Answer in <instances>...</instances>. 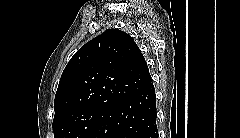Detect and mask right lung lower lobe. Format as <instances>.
I'll use <instances>...</instances> for the list:
<instances>
[{
  "instance_id": "1",
  "label": "right lung lower lobe",
  "mask_w": 240,
  "mask_h": 138,
  "mask_svg": "<svg viewBox=\"0 0 240 138\" xmlns=\"http://www.w3.org/2000/svg\"><path fill=\"white\" fill-rule=\"evenodd\" d=\"M156 95L147 87L107 110L88 138H158Z\"/></svg>"
}]
</instances>
